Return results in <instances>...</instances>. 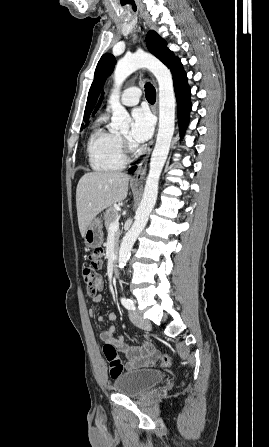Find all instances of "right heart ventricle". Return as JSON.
I'll use <instances>...</instances> for the list:
<instances>
[{
	"mask_svg": "<svg viewBox=\"0 0 269 447\" xmlns=\"http://www.w3.org/2000/svg\"><path fill=\"white\" fill-rule=\"evenodd\" d=\"M107 115L98 119L88 144L89 163L96 171L121 169L125 165V151L121 137L106 125Z\"/></svg>",
	"mask_w": 269,
	"mask_h": 447,
	"instance_id": "obj_1",
	"label": "right heart ventricle"
}]
</instances>
